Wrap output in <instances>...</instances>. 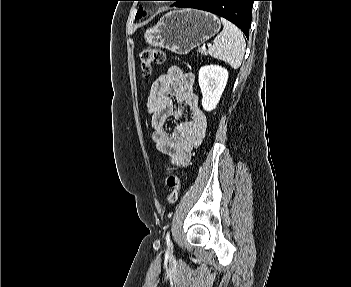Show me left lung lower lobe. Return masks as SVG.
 <instances>
[{
    "label": "left lung lower lobe",
    "instance_id": "1",
    "mask_svg": "<svg viewBox=\"0 0 351 287\" xmlns=\"http://www.w3.org/2000/svg\"><path fill=\"white\" fill-rule=\"evenodd\" d=\"M254 1L256 0H180L175 6L204 10L224 17L237 25L248 38Z\"/></svg>",
    "mask_w": 351,
    "mask_h": 287
}]
</instances>
